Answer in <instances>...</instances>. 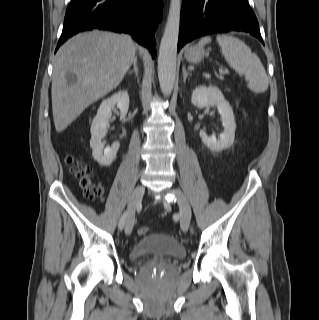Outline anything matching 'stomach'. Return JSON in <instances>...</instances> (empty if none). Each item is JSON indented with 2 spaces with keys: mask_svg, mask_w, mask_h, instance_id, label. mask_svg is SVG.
Listing matches in <instances>:
<instances>
[{
  "mask_svg": "<svg viewBox=\"0 0 319 320\" xmlns=\"http://www.w3.org/2000/svg\"><path fill=\"white\" fill-rule=\"evenodd\" d=\"M206 52L202 46H190L185 51V58L190 63H198L205 57Z\"/></svg>",
  "mask_w": 319,
  "mask_h": 320,
  "instance_id": "1",
  "label": "stomach"
}]
</instances>
